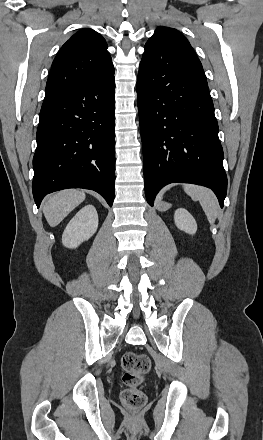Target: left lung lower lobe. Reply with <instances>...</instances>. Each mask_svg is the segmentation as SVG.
<instances>
[{
    "mask_svg": "<svg viewBox=\"0 0 263 440\" xmlns=\"http://www.w3.org/2000/svg\"><path fill=\"white\" fill-rule=\"evenodd\" d=\"M137 102L148 203L165 185L185 182L211 188L223 207L227 176L207 80L172 55L140 63Z\"/></svg>",
    "mask_w": 263,
    "mask_h": 440,
    "instance_id": "0a47b994",
    "label": "left lung lower lobe"
}]
</instances>
